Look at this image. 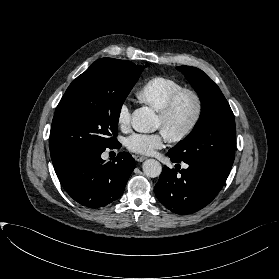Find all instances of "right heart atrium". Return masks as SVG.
Segmentation results:
<instances>
[{
    "label": "right heart atrium",
    "instance_id": "obj_1",
    "mask_svg": "<svg viewBox=\"0 0 279 279\" xmlns=\"http://www.w3.org/2000/svg\"><path fill=\"white\" fill-rule=\"evenodd\" d=\"M117 124L122 130L128 129L131 124V108L126 102L118 108Z\"/></svg>",
    "mask_w": 279,
    "mask_h": 279
}]
</instances>
